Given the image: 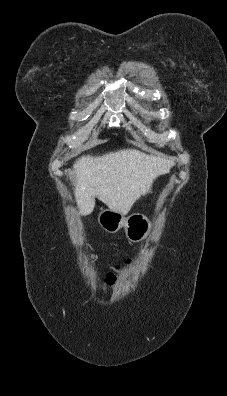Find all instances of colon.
I'll return each instance as SVG.
<instances>
[{
  "mask_svg": "<svg viewBox=\"0 0 227 396\" xmlns=\"http://www.w3.org/2000/svg\"><path fill=\"white\" fill-rule=\"evenodd\" d=\"M115 280H116L115 273L114 272L108 273L107 278H106L107 284L111 285V284H113L115 282Z\"/></svg>",
  "mask_w": 227,
  "mask_h": 396,
  "instance_id": "1",
  "label": "colon"
}]
</instances>
